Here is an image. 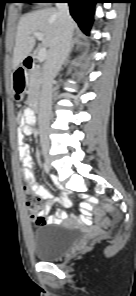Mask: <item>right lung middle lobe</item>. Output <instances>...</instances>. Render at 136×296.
I'll return each mask as SVG.
<instances>
[{
	"instance_id": "dd1d6c3e",
	"label": "right lung middle lobe",
	"mask_w": 136,
	"mask_h": 296,
	"mask_svg": "<svg viewBox=\"0 0 136 296\" xmlns=\"http://www.w3.org/2000/svg\"><path fill=\"white\" fill-rule=\"evenodd\" d=\"M40 0H21L20 2L24 3H33V2H39Z\"/></svg>"
}]
</instances>
